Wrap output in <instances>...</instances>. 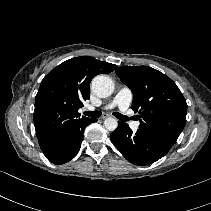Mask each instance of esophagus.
Masks as SVG:
<instances>
[{"label":"esophagus","instance_id":"esophagus-1","mask_svg":"<svg viewBox=\"0 0 211 211\" xmlns=\"http://www.w3.org/2000/svg\"><path fill=\"white\" fill-rule=\"evenodd\" d=\"M110 115H108V114H104L101 118L102 119H106V118H108Z\"/></svg>","mask_w":211,"mask_h":211}]
</instances>
